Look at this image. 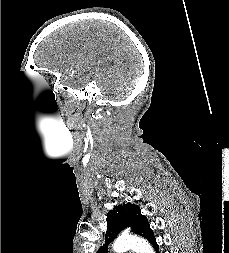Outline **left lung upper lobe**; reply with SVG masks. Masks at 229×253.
I'll use <instances>...</instances> for the list:
<instances>
[{"instance_id":"left-lung-upper-lobe-1","label":"left lung upper lobe","mask_w":229,"mask_h":253,"mask_svg":"<svg viewBox=\"0 0 229 253\" xmlns=\"http://www.w3.org/2000/svg\"><path fill=\"white\" fill-rule=\"evenodd\" d=\"M106 243L99 248L97 253H108V244L125 228L131 227L132 231L147 239L151 244L155 241L154 233L150 228L146 216L140 212V207L133 204L115 206L107 214Z\"/></svg>"}]
</instances>
